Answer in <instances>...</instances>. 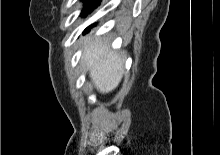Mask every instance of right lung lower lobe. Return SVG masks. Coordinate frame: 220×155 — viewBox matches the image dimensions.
Segmentation results:
<instances>
[{
    "label": "right lung lower lobe",
    "instance_id": "98d812e1",
    "mask_svg": "<svg viewBox=\"0 0 220 155\" xmlns=\"http://www.w3.org/2000/svg\"><path fill=\"white\" fill-rule=\"evenodd\" d=\"M93 26H94V25L89 26L86 30L90 29V28L93 27ZM86 30H85V31H86Z\"/></svg>",
    "mask_w": 220,
    "mask_h": 155
}]
</instances>
